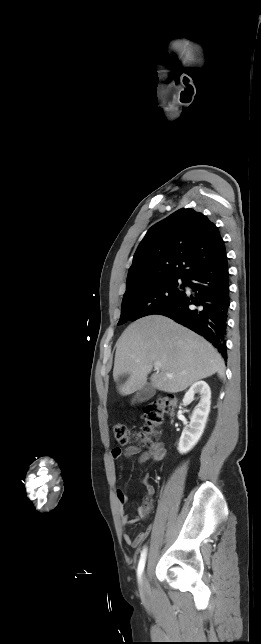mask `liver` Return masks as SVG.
<instances>
[{
    "label": "liver",
    "mask_w": 261,
    "mask_h": 644,
    "mask_svg": "<svg viewBox=\"0 0 261 644\" xmlns=\"http://www.w3.org/2000/svg\"><path fill=\"white\" fill-rule=\"evenodd\" d=\"M155 362L161 367L151 385L166 393L181 392L215 373L225 376L224 361L208 341L170 318L151 315L130 324L116 343L114 380L129 375L119 393L130 395L145 386Z\"/></svg>",
    "instance_id": "liver-1"
}]
</instances>
